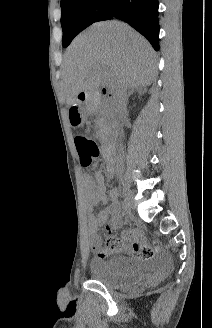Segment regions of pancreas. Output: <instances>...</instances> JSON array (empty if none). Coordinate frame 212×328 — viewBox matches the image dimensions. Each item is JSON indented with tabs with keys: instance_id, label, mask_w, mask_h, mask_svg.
Segmentation results:
<instances>
[{
	"instance_id": "pancreas-1",
	"label": "pancreas",
	"mask_w": 212,
	"mask_h": 328,
	"mask_svg": "<svg viewBox=\"0 0 212 328\" xmlns=\"http://www.w3.org/2000/svg\"><path fill=\"white\" fill-rule=\"evenodd\" d=\"M95 113L97 134L100 138L106 139L112 133L113 125L110 118L109 106L105 103H100L95 106Z\"/></svg>"
}]
</instances>
